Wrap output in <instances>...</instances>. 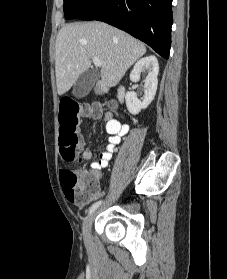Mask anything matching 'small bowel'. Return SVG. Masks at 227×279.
<instances>
[{"label":"small bowel","instance_id":"c3829d8e","mask_svg":"<svg viewBox=\"0 0 227 279\" xmlns=\"http://www.w3.org/2000/svg\"><path fill=\"white\" fill-rule=\"evenodd\" d=\"M104 120L106 121V131L109 135L106 148L100 153L99 159L90 163L89 167L83 172L84 175L94 177L97 184L102 178V170L108 167L116 146L121 141V137L129 131V126L114 119L110 112L104 113ZM92 156L91 149H85L82 153V157L86 161L90 160ZM99 192V189H97L96 194H99Z\"/></svg>","mask_w":227,"mask_h":279}]
</instances>
